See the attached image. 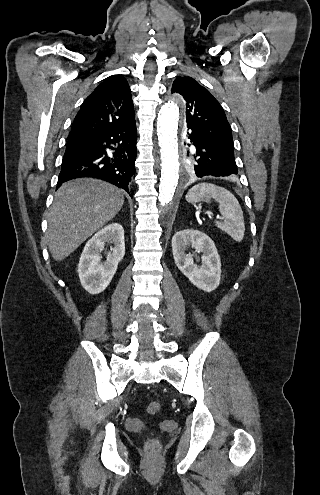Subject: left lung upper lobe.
Instances as JSON below:
<instances>
[{"mask_svg":"<svg viewBox=\"0 0 320 495\" xmlns=\"http://www.w3.org/2000/svg\"><path fill=\"white\" fill-rule=\"evenodd\" d=\"M172 93H178L186 101V123L206 140L234 153L231 127L219 102L211 93L189 76H178L172 85ZM188 170L194 175L198 153L188 151Z\"/></svg>","mask_w":320,"mask_h":495,"instance_id":"obj_1","label":"left lung upper lobe"}]
</instances>
